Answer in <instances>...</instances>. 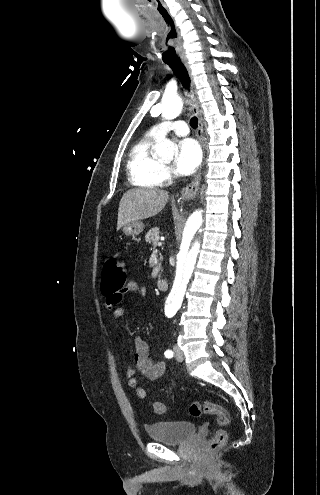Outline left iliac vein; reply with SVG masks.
<instances>
[{"mask_svg": "<svg viewBox=\"0 0 320 495\" xmlns=\"http://www.w3.org/2000/svg\"><path fill=\"white\" fill-rule=\"evenodd\" d=\"M173 351H174L175 359L178 362H182L184 359V354H183L182 350L180 349V347L178 345H174Z\"/></svg>", "mask_w": 320, "mask_h": 495, "instance_id": "1", "label": "left iliac vein"}]
</instances>
